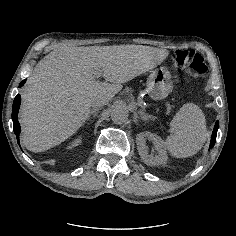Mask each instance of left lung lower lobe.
<instances>
[{"label": "left lung lower lobe", "instance_id": "1", "mask_svg": "<svg viewBox=\"0 0 236 236\" xmlns=\"http://www.w3.org/2000/svg\"><path fill=\"white\" fill-rule=\"evenodd\" d=\"M218 127H219V122L217 121L214 126L213 133H212L210 148H212L215 145Z\"/></svg>", "mask_w": 236, "mask_h": 236}]
</instances>
